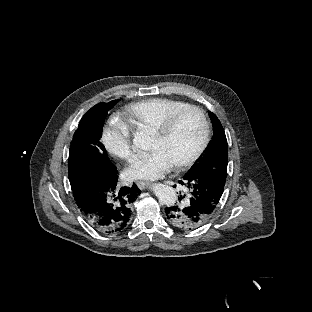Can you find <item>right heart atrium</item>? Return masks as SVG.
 I'll return each instance as SVG.
<instances>
[{
  "mask_svg": "<svg viewBox=\"0 0 312 312\" xmlns=\"http://www.w3.org/2000/svg\"><path fill=\"white\" fill-rule=\"evenodd\" d=\"M104 141L106 156L112 161L126 163L136 155L135 140L127 130V125L122 120L110 117L104 121Z\"/></svg>",
  "mask_w": 312,
  "mask_h": 312,
  "instance_id": "1",
  "label": "right heart atrium"
}]
</instances>
